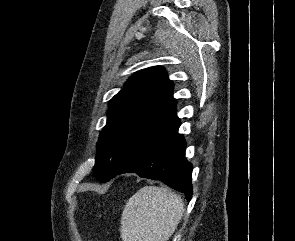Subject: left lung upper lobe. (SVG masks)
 I'll return each mask as SVG.
<instances>
[{
    "instance_id": "obj_1",
    "label": "left lung upper lobe",
    "mask_w": 295,
    "mask_h": 241,
    "mask_svg": "<svg viewBox=\"0 0 295 241\" xmlns=\"http://www.w3.org/2000/svg\"><path fill=\"white\" fill-rule=\"evenodd\" d=\"M173 87L163 67H150L136 72L110 100L93 168L99 181L111 179L153 141L181 124Z\"/></svg>"
}]
</instances>
